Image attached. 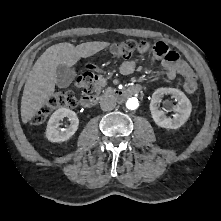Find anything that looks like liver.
<instances>
[{"mask_svg": "<svg viewBox=\"0 0 221 221\" xmlns=\"http://www.w3.org/2000/svg\"><path fill=\"white\" fill-rule=\"evenodd\" d=\"M110 45L109 42H86L74 46L59 43L50 46L32 67L24 86L21 99V118L23 123L31 120L54 94L56 70L58 65H75L80 58L90 57Z\"/></svg>", "mask_w": 221, "mask_h": 221, "instance_id": "liver-1", "label": "liver"}]
</instances>
